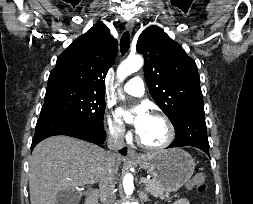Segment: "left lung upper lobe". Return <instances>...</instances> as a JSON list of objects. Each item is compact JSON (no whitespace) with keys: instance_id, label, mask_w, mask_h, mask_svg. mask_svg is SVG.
Returning a JSON list of instances; mask_svg holds the SVG:
<instances>
[{"instance_id":"1","label":"left lung upper lobe","mask_w":253,"mask_h":204,"mask_svg":"<svg viewBox=\"0 0 253 204\" xmlns=\"http://www.w3.org/2000/svg\"><path fill=\"white\" fill-rule=\"evenodd\" d=\"M137 51L145 59L150 94L174 127L188 114L204 110L195 61L161 28H146L138 38Z\"/></svg>"}]
</instances>
